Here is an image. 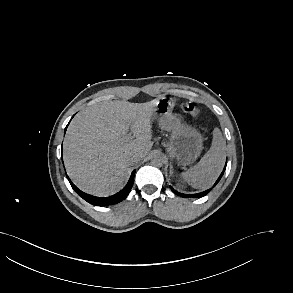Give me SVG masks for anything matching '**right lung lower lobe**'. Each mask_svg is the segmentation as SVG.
<instances>
[{
  "mask_svg": "<svg viewBox=\"0 0 293 293\" xmlns=\"http://www.w3.org/2000/svg\"><path fill=\"white\" fill-rule=\"evenodd\" d=\"M67 129V127H66ZM65 129V131H66ZM134 175H135V170L132 172V175L127 183V185L118 193L109 196V197H95L89 194H86L84 192H82L81 190H79L72 182L71 180L68 178L72 188L74 189V191L80 196L82 197L84 200H86L88 203L92 204V205H96V206H108V205H113L116 203L121 202L122 200H124L127 195L130 192V189L133 186V181H134Z\"/></svg>",
  "mask_w": 293,
  "mask_h": 293,
  "instance_id": "1",
  "label": "right lung lower lobe"
}]
</instances>
